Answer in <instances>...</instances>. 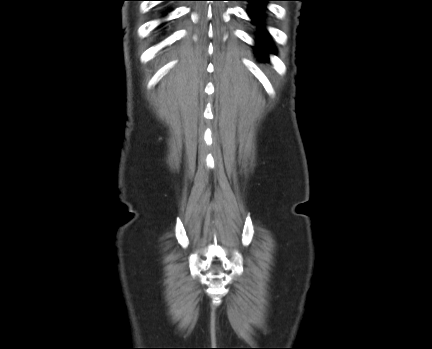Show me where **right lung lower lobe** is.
<instances>
[{
	"label": "right lung lower lobe",
	"instance_id": "obj_1",
	"mask_svg": "<svg viewBox=\"0 0 432 349\" xmlns=\"http://www.w3.org/2000/svg\"><path fill=\"white\" fill-rule=\"evenodd\" d=\"M163 1H171V0H163Z\"/></svg>",
	"mask_w": 432,
	"mask_h": 349
}]
</instances>
